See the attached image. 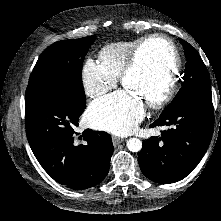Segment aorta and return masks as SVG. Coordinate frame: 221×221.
Instances as JSON below:
<instances>
[{
    "instance_id": "762f6f07",
    "label": "aorta",
    "mask_w": 221,
    "mask_h": 221,
    "mask_svg": "<svg viewBox=\"0 0 221 221\" xmlns=\"http://www.w3.org/2000/svg\"><path fill=\"white\" fill-rule=\"evenodd\" d=\"M127 148L131 152H138L142 149V142L138 138H130L126 143Z\"/></svg>"
}]
</instances>
